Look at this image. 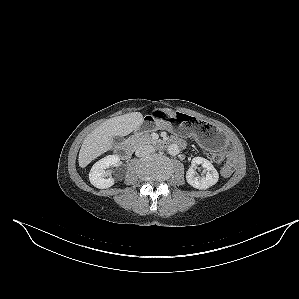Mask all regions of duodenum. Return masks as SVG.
<instances>
[{"mask_svg":"<svg viewBox=\"0 0 299 299\" xmlns=\"http://www.w3.org/2000/svg\"><path fill=\"white\" fill-rule=\"evenodd\" d=\"M174 144L181 146V142L179 140H175ZM168 146V142L160 141L157 143V147L162 149ZM132 152V145L130 143H122L116 148V153L118 156L122 158H127L130 156Z\"/></svg>","mask_w":299,"mask_h":299,"instance_id":"1","label":"duodenum"}]
</instances>
